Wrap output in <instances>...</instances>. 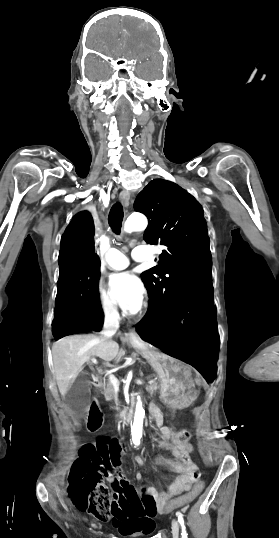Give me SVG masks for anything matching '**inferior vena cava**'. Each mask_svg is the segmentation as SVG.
I'll return each mask as SVG.
<instances>
[{
  "instance_id": "inferior-vena-cava-1",
  "label": "inferior vena cava",
  "mask_w": 279,
  "mask_h": 538,
  "mask_svg": "<svg viewBox=\"0 0 279 538\" xmlns=\"http://www.w3.org/2000/svg\"><path fill=\"white\" fill-rule=\"evenodd\" d=\"M118 318L119 314L116 310H106L104 330L101 333L104 334L102 335V338H106V341L109 338H113V335L116 334L118 328Z\"/></svg>"
}]
</instances>
